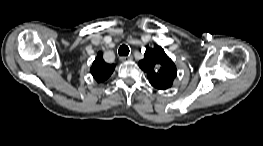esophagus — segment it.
I'll return each instance as SVG.
<instances>
[{
    "mask_svg": "<svg viewBox=\"0 0 263 146\" xmlns=\"http://www.w3.org/2000/svg\"><path fill=\"white\" fill-rule=\"evenodd\" d=\"M119 59H120L121 61H126V60H131L132 57H131V56H121Z\"/></svg>",
    "mask_w": 263,
    "mask_h": 146,
    "instance_id": "obj_1",
    "label": "esophagus"
}]
</instances>
